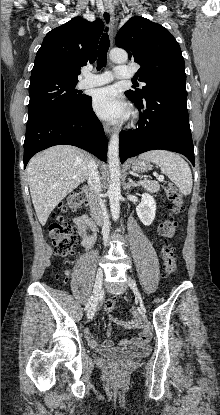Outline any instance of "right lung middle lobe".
Instances as JSON below:
<instances>
[{
	"mask_svg": "<svg viewBox=\"0 0 220 415\" xmlns=\"http://www.w3.org/2000/svg\"><path fill=\"white\" fill-rule=\"evenodd\" d=\"M77 82L47 77L30 80L28 119L54 108L78 110L86 96L75 89Z\"/></svg>",
	"mask_w": 220,
	"mask_h": 415,
	"instance_id": "right-lung-middle-lobe-1",
	"label": "right lung middle lobe"
}]
</instances>
